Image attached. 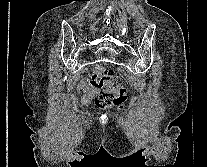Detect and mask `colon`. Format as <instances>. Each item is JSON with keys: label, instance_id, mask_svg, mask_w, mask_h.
I'll use <instances>...</instances> for the list:
<instances>
[{"label": "colon", "instance_id": "colon-1", "mask_svg": "<svg viewBox=\"0 0 207 167\" xmlns=\"http://www.w3.org/2000/svg\"><path fill=\"white\" fill-rule=\"evenodd\" d=\"M90 81L94 87L101 89L96 98L97 105H121L125 101L126 95L122 81L102 66L95 69Z\"/></svg>", "mask_w": 207, "mask_h": 167}]
</instances>
